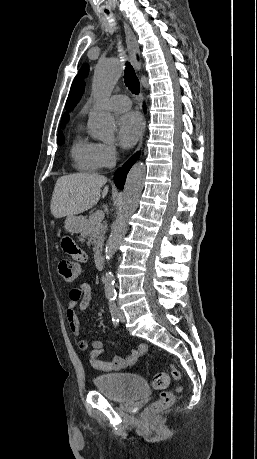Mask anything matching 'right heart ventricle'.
I'll use <instances>...</instances> for the list:
<instances>
[{
	"instance_id": "1",
	"label": "right heart ventricle",
	"mask_w": 257,
	"mask_h": 459,
	"mask_svg": "<svg viewBox=\"0 0 257 459\" xmlns=\"http://www.w3.org/2000/svg\"><path fill=\"white\" fill-rule=\"evenodd\" d=\"M71 157L76 169L96 171L101 166L97 158V143L78 135L71 148Z\"/></svg>"
}]
</instances>
